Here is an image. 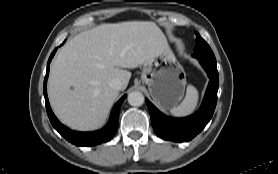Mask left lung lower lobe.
I'll use <instances>...</instances> for the list:
<instances>
[{"label": "left lung lower lobe", "mask_w": 278, "mask_h": 174, "mask_svg": "<svg viewBox=\"0 0 278 174\" xmlns=\"http://www.w3.org/2000/svg\"><path fill=\"white\" fill-rule=\"evenodd\" d=\"M193 57L199 60L210 79L203 103L195 114L186 118L171 120L146 99L153 129L159 137L165 140L175 142L189 141L203 130L213 116L219 82L216 61L196 55H193Z\"/></svg>", "instance_id": "1"}]
</instances>
